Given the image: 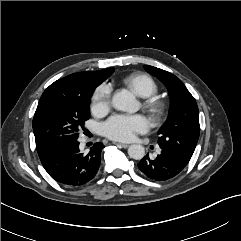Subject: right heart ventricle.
Returning a JSON list of instances; mask_svg holds the SVG:
<instances>
[{"instance_id":"e07e8e85","label":"right heart ventricle","mask_w":241,"mask_h":241,"mask_svg":"<svg viewBox=\"0 0 241 241\" xmlns=\"http://www.w3.org/2000/svg\"><path fill=\"white\" fill-rule=\"evenodd\" d=\"M123 84L139 97L147 98L156 94L158 85L149 75L133 73L123 79Z\"/></svg>"}]
</instances>
